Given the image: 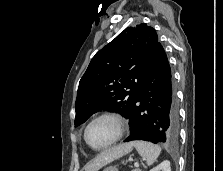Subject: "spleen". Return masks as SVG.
I'll return each mask as SVG.
<instances>
[{"mask_svg": "<svg viewBox=\"0 0 223 171\" xmlns=\"http://www.w3.org/2000/svg\"><path fill=\"white\" fill-rule=\"evenodd\" d=\"M132 145L136 148L139 155L146 160L148 166L152 165L161 153V148L150 142L134 141Z\"/></svg>", "mask_w": 223, "mask_h": 171, "instance_id": "obj_1", "label": "spleen"}]
</instances>
